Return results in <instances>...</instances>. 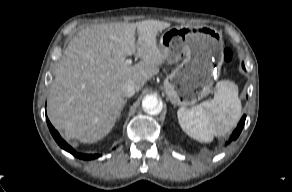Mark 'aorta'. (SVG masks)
<instances>
[{
	"label": "aorta",
	"mask_w": 292,
	"mask_h": 192,
	"mask_svg": "<svg viewBox=\"0 0 292 192\" xmlns=\"http://www.w3.org/2000/svg\"><path fill=\"white\" fill-rule=\"evenodd\" d=\"M142 107L151 115L159 114L162 110V105L155 95H146L142 100Z\"/></svg>",
	"instance_id": "aorta-1"
}]
</instances>
